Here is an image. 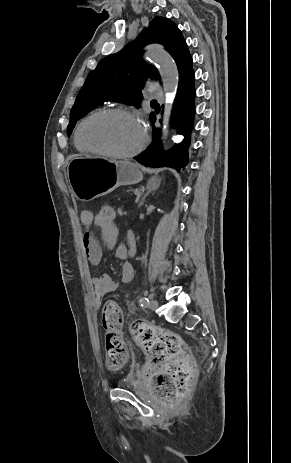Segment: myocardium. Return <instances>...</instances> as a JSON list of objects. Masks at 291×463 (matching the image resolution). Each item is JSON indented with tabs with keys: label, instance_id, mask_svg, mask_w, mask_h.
Returning a JSON list of instances; mask_svg holds the SVG:
<instances>
[{
	"label": "myocardium",
	"instance_id": "myocardium-1",
	"mask_svg": "<svg viewBox=\"0 0 291 463\" xmlns=\"http://www.w3.org/2000/svg\"><path fill=\"white\" fill-rule=\"evenodd\" d=\"M113 115H122V116H126L128 118H131L132 120L137 122L139 124V126L141 127L142 137H141L140 143L132 151L122 152V153L112 152V151H109V150H106V149L93 147V146L89 145L87 142H85V140L83 139V137H82L83 128L90 120H92V119H94L96 117H107V116H113ZM75 138H76V141H77L78 145L82 149H84V150H86L88 152H91V153H94V154H99V155H104V156L111 157V158L126 159V158H132V157L137 156L144 149V147L146 146V143L148 141V134H147V130H146L145 126L143 125L140 118L138 117V115L135 112H133V111H131L129 109H126V108H111V109H106V110H101V111L94 112V113L90 114L89 116H87L86 118H84L77 127V130H76V133H75Z\"/></svg>",
	"mask_w": 291,
	"mask_h": 463
}]
</instances>
